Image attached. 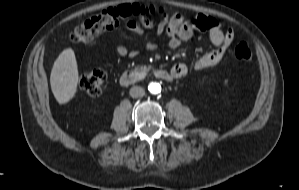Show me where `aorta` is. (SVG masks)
Instances as JSON below:
<instances>
[{
  "label": "aorta",
  "mask_w": 299,
  "mask_h": 190,
  "mask_svg": "<svg viewBox=\"0 0 299 190\" xmlns=\"http://www.w3.org/2000/svg\"><path fill=\"white\" fill-rule=\"evenodd\" d=\"M148 90L152 94H159L161 92V85L157 82H151L148 85Z\"/></svg>",
  "instance_id": "762f6f07"
}]
</instances>
